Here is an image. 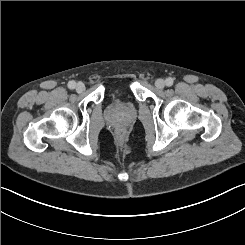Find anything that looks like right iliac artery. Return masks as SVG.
<instances>
[{
	"instance_id": "82829eb1",
	"label": "right iliac artery",
	"mask_w": 245,
	"mask_h": 245,
	"mask_svg": "<svg viewBox=\"0 0 245 245\" xmlns=\"http://www.w3.org/2000/svg\"><path fill=\"white\" fill-rule=\"evenodd\" d=\"M75 86H76V83H75L74 81H69L68 87H69L70 89H74Z\"/></svg>"
}]
</instances>
